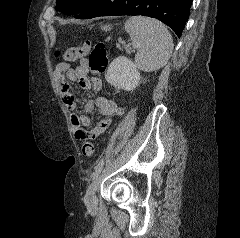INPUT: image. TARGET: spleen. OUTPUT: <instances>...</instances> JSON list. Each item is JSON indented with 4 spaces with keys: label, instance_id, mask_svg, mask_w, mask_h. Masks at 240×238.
<instances>
[{
    "label": "spleen",
    "instance_id": "3e777b00",
    "mask_svg": "<svg viewBox=\"0 0 240 238\" xmlns=\"http://www.w3.org/2000/svg\"><path fill=\"white\" fill-rule=\"evenodd\" d=\"M124 29L137 50L135 65L146 72L156 71L167 64L173 51V40L164 24L147 17H130Z\"/></svg>",
    "mask_w": 240,
    "mask_h": 238
}]
</instances>
